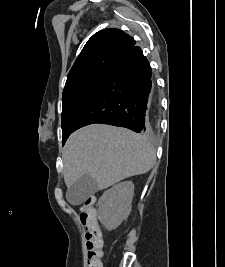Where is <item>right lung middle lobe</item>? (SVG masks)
Returning <instances> with one entry per match:
<instances>
[{
    "instance_id": "right-lung-middle-lobe-1",
    "label": "right lung middle lobe",
    "mask_w": 225,
    "mask_h": 267,
    "mask_svg": "<svg viewBox=\"0 0 225 267\" xmlns=\"http://www.w3.org/2000/svg\"><path fill=\"white\" fill-rule=\"evenodd\" d=\"M106 75L107 73L89 76L64 88L62 97L63 144L73 132V127L77 117L102 83Z\"/></svg>"
}]
</instances>
